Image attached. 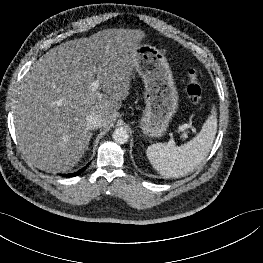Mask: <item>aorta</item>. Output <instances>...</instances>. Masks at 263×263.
I'll use <instances>...</instances> for the list:
<instances>
[{"label":"aorta","mask_w":263,"mask_h":263,"mask_svg":"<svg viewBox=\"0 0 263 263\" xmlns=\"http://www.w3.org/2000/svg\"><path fill=\"white\" fill-rule=\"evenodd\" d=\"M112 137L116 143L124 144L128 141L129 135L126 129L120 127L114 130Z\"/></svg>","instance_id":"1"}]
</instances>
